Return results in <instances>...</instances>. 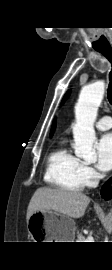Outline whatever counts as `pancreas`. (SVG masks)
Returning a JSON list of instances; mask_svg holds the SVG:
<instances>
[{
	"mask_svg": "<svg viewBox=\"0 0 112 270\" xmlns=\"http://www.w3.org/2000/svg\"><path fill=\"white\" fill-rule=\"evenodd\" d=\"M76 242H85V237L79 232H78V235H77Z\"/></svg>",
	"mask_w": 112,
	"mask_h": 270,
	"instance_id": "obj_1",
	"label": "pancreas"
}]
</instances>
